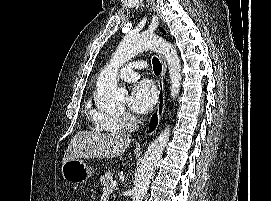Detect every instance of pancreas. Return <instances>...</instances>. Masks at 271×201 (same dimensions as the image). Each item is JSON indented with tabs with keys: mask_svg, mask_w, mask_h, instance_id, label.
I'll return each instance as SVG.
<instances>
[{
	"mask_svg": "<svg viewBox=\"0 0 271 201\" xmlns=\"http://www.w3.org/2000/svg\"><path fill=\"white\" fill-rule=\"evenodd\" d=\"M112 181H113V173L110 171H107L103 176L100 177V183L103 186V189L110 186Z\"/></svg>",
	"mask_w": 271,
	"mask_h": 201,
	"instance_id": "pancreas-1",
	"label": "pancreas"
}]
</instances>
